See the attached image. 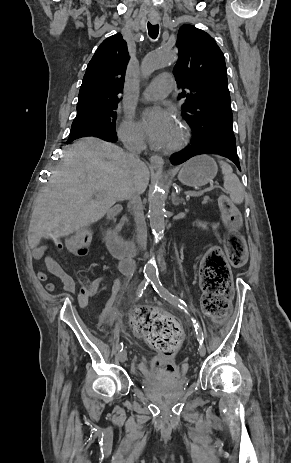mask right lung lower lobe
<instances>
[{
    "mask_svg": "<svg viewBox=\"0 0 291 463\" xmlns=\"http://www.w3.org/2000/svg\"><path fill=\"white\" fill-rule=\"evenodd\" d=\"M93 137H97V138L103 139V140L108 141V142H115L118 139L116 134L115 135L101 134V135H96V136H93ZM68 143H70V142H68Z\"/></svg>",
    "mask_w": 291,
    "mask_h": 463,
    "instance_id": "right-lung-lower-lobe-1",
    "label": "right lung lower lobe"
}]
</instances>
